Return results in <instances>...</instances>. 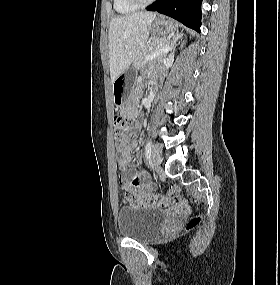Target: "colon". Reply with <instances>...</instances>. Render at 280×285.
<instances>
[{
  "instance_id": "1",
  "label": "colon",
  "mask_w": 280,
  "mask_h": 285,
  "mask_svg": "<svg viewBox=\"0 0 280 285\" xmlns=\"http://www.w3.org/2000/svg\"><path fill=\"white\" fill-rule=\"evenodd\" d=\"M113 136L116 141H121L131 127V120L122 114L117 113L112 122ZM126 201L130 204L150 203L164 207L175 205L180 198L176 188H171L165 195L143 194L135 191L125 193ZM202 222V217L197 215L190 218L186 228L192 230L198 227Z\"/></svg>"
}]
</instances>
